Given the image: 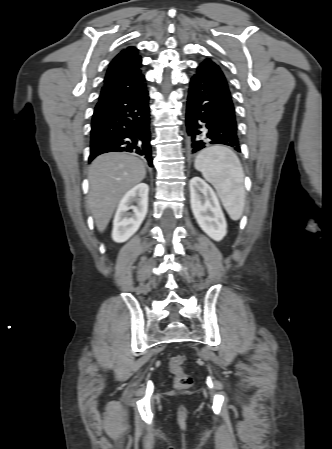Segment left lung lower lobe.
I'll list each match as a JSON object with an SVG mask.
<instances>
[{"label":"left lung lower lobe","mask_w":332,"mask_h":449,"mask_svg":"<svg viewBox=\"0 0 332 449\" xmlns=\"http://www.w3.org/2000/svg\"><path fill=\"white\" fill-rule=\"evenodd\" d=\"M186 127L191 154L222 144L240 152L234 104L228 82L212 61L200 63L191 77Z\"/></svg>","instance_id":"0a47b994"}]
</instances>
